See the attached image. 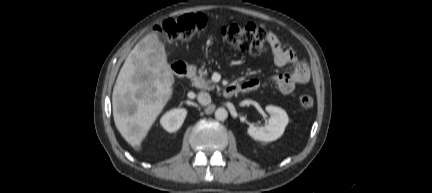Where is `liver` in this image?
I'll return each mask as SVG.
<instances>
[{"label":"liver","mask_w":432,"mask_h":193,"mask_svg":"<svg viewBox=\"0 0 432 193\" xmlns=\"http://www.w3.org/2000/svg\"><path fill=\"white\" fill-rule=\"evenodd\" d=\"M173 83L164 45L155 33L146 35L127 56L112 94L115 125L132 147L138 149L146 138L172 96Z\"/></svg>","instance_id":"6515ba94"}]
</instances>
